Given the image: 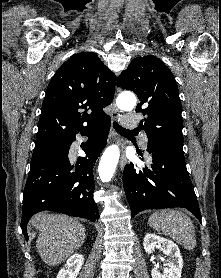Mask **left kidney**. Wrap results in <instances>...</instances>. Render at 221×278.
<instances>
[{
  "label": "left kidney",
  "mask_w": 221,
  "mask_h": 278,
  "mask_svg": "<svg viewBox=\"0 0 221 278\" xmlns=\"http://www.w3.org/2000/svg\"><path fill=\"white\" fill-rule=\"evenodd\" d=\"M143 246L148 254H151L155 248H160L165 255L171 258L166 264L169 269L164 274L160 273L158 266L152 269V278H181L183 259L178 246L173 241L155 234H146Z\"/></svg>",
  "instance_id": "1"
}]
</instances>
